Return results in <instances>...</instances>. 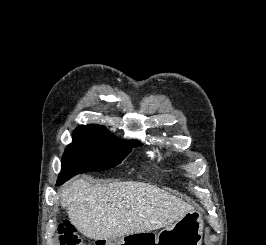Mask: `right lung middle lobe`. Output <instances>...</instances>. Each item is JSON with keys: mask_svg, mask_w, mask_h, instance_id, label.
Instances as JSON below:
<instances>
[{"mask_svg": "<svg viewBox=\"0 0 266 245\" xmlns=\"http://www.w3.org/2000/svg\"><path fill=\"white\" fill-rule=\"evenodd\" d=\"M137 141H120L102 125H81L74 130L73 143L68 145L62 159L58 181L63 183L78 173L104 171L120 164Z\"/></svg>", "mask_w": 266, "mask_h": 245, "instance_id": "right-lung-middle-lobe-1", "label": "right lung middle lobe"}]
</instances>
